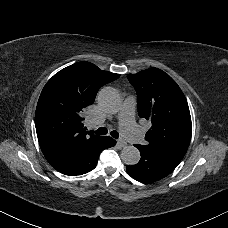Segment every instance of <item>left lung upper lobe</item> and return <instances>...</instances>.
I'll return each mask as SVG.
<instances>
[{
    "mask_svg": "<svg viewBox=\"0 0 228 228\" xmlns=\"http://www.w3.org/2000/svg\"><path fill=\"white\" fill-rule=\"evenodd\" d=\"M127 78L137 93L138 115L152 123L141 146L183 158L192 124L186 98L177 83L158 68L128 74Z\"/></svg>",
    "mask_w": 228,
    "mask_h": 228,
    "instance_id": "1",
    "label": "left lung upper lobe"
}]
</instances>
